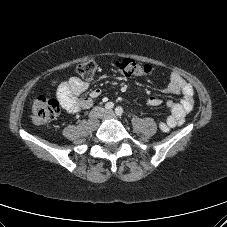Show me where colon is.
<instances>
[{
    "instance_id": "5ec220e1",
    "label": "colon",
    "mask_w": 227,
    "mask_h": 227,
    "mask_svg": "<svg viewBox=\"0 0 227 227\" xmlns=\"http://www.w3.org/2000/svg\"><path fill=\"white\" fill-rule=\"evenodd\" d=\"M116 69L126 77L146 76L152 72L148 64H140L132 59H122L115 62ZM97 65L94 61H86L77 67V73L85 80L91 79L96 72ZM60 112L57 100L46 96L34 99L31 110V120L35 125L41 126L55 120Z\"/></svg>"
}]
</instances>
